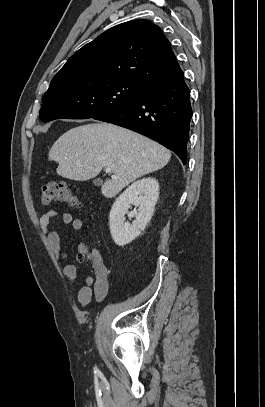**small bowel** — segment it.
<instances>
[{"label":"small bowel","mask_w":265,"mask_h":407,"mask_svg":"<svg viewBox=\"0 0 265 407\" xmlns=\"http://www.w3.org/2000/svg\"><path fill=\"white\" fill-rule=\"evenodd\" d=\"M58 215V212L54 209L46 211L39 218V226L43 234L47 237L55 258L57 261L63 263V273L65 277L69 281L74 282L77 278V268L68 262V253L61 244L59 234L51 226V220ZM61 222L64 225H70L75 231H79L83 227L82 219L73 218L70 213H63L61 215ZM95 257L97 262H93V275L86 278L85 284L78 292V301L82 307L88 305L93 297H95L97 301L103 300L108 293V269L98 253H95Z\"/></svg>","instance_id":"obj_1"}]
</instances>
